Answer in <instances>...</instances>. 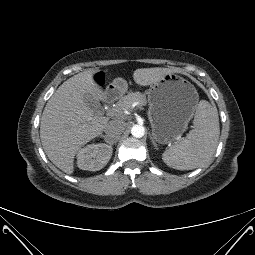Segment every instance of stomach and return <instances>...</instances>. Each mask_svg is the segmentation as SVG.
<instances>
[{"label": "stomach", "instance_id": "0dacf381", "mask_svg": "<svg viewBox=\"0 0 255 255\" xmlns=\"http://www.w3.org/2000/svg\"><path fill=\"white\" fill-rule=\"evenodd\" d=\"M108 89L123 93L126 82L115 79ZM148 118L153 139L158 144H171L186 131L198 103L193 84L176 73L165 74L147 91Z\"/></svg>", "mask_w": 255, "mask_h": 255}]
</instances>
